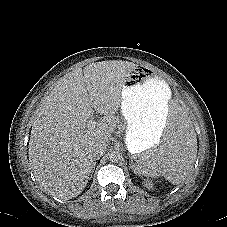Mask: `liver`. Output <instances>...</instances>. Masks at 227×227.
<instances>
[{
	"label": "liver",
	"instance_id": "6515ba94",
	"mask_svg": "<svg viewBox=\"0 0 227 227\" xmlns=\"http://www.w3.org/2000/svg\"><path fill=\"white\" fill-rule=\"evenodd\" d=\"M132 62L102 61L62 77L42 100L31 130L29 162L40 185L54 196L71 199L87 186L93 146L108 142L119 127L124 80ZM104 115L95 125L94 112Z\"/></svg>",
	"mask_w": 227,
	"mask_h": 227
}]
</instances>
